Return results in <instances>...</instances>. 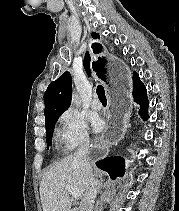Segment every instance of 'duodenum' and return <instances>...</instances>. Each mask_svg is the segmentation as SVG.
<instances>
[{"instance_id": "obj_1", "label": "duodenum", "mask_w": 179, "mask_h": 211, "mask_svg": "<svg viewBox=\"0 0 179 211\" xmlns=\"http://www.w3.org/2000/svg\"><path fill=\"white\" fill-rule=\"evenodd\" d=\"M70 211H78L77 209H72V210H70Z\"/></svg>"}]
</instances>
